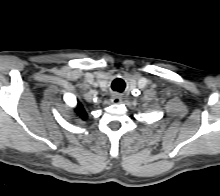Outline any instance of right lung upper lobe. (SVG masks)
Instances as JSON below:
<instances>
[{
	"label": "right lung upper lobe",
	"instance_id": "obj_1",
	"mask_svg": "<svg viewBox=\"0 0 220 196\" xmlns=\"http://www.w3.org/2000/svg\"><path fill=\"white\" fill-rule=\"evenodd\" d=\"M75 112L82 120H85L87 118V113L85 112L81 103H79V102L77 104V107L75 108Z\"/></svg>",
	"mask_w": 220,
	"mask_h": 196
}]
</instances>
